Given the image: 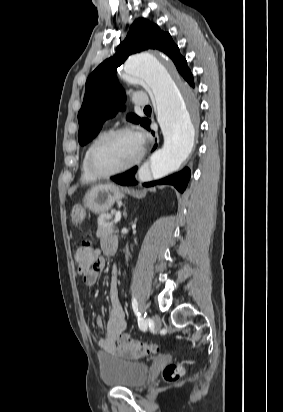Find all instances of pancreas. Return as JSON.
I'll use <instances>...</instances> for the list:
<instances>
[{"instance_id":"cf45deb5","label":"pancreas","mask_w":283,"mask_h":412,"mask_svg":"<svg viewBox=\"0 0 283 412\" xmlns=\"http://www.w3.org/2000/svg\"><path fill=\"white\" fill-rule=\"evenodd\" d=\"M116 229L113 226V222L107 217L98 218V229L96 232L97 237H104L116 233Z\"/></svg>"}]
</instances>
